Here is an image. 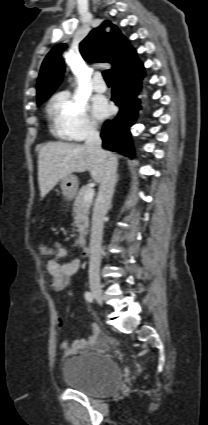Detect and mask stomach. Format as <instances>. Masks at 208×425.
I'll use <instances>...</instances> for the list:
<instances>
[{
    "label": "stomach",
    "instance_id": "stomach-1",
    "mask_svg": "<svg viewBox=\"0 0 208 425\" xmlns=\"http://www.w3.org/2000/svg\"><path fill=\"white\" fill-rule=\"evenodd\" d=\"M78 179L75 175H69L61 180V190L67 200H71L78 189Z\"/></svg>",
    "mask_w": 208,
    "mask_h": 425
}]
</instances>
